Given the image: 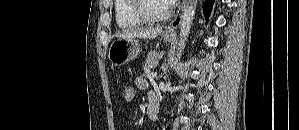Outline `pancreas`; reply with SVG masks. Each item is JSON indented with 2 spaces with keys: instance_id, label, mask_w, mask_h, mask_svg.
Listing matches in <instances>:
<instances>
[{
  "instance_id": "obj_1",
  "label": "pancreas",
  "mask_w": 299,
  "mask_h": 130,
  "mask_svg": "<svg viewBox=\"0 0 299 130\" xmlns=\"http://www.w3.org/2000/svg\"><path fill=\"white\" fill-rule=\"evenodd\" d=\"M162 57L161 52L151 51L147 55V59L144 65V72L148 74L151 69L157 66L159 59Z\"/></svg>"
}]
</instances>
